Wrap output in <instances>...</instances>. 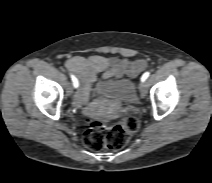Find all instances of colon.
Instances as JSON below:
<instances>
[{
	"mask_svg": "<svg viewBox=\"0 0 212 183\" xmlns=\"http://www.w3.org/2000/svg\"><path fill=\"white\" fill-rule=\"evenodd\" d=\"M140 122L129 115L116 124H106L99 120L90 122L83 136L84 144L93 151L103 148L118 150L124 147L130 137L138 131Z\"/></svg>",
	"mask_w": 212,
	"mask_h": 183,
	"instance_id": "colon-1",
	"label": "colon"
}]
</instances>
